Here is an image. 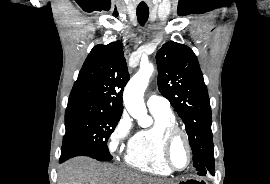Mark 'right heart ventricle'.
Wrapping results in <instances>:
<instances>
[{"mask_svg":"<svg viewBox=\"0 0 270 184\" xmlns=\"http://www.w3.org/2000/svg\"><path fill=\"white\" fill-rule=\"evenodd\" d=\"M154 117L153 126L141 129L134 136L127 149L125 162L132 168L158 176L172 173L162 160L161 138L165 126L176 124L171 110H151Z\"/></svg>","mask_w":270,"mask_h":184,"instance_id":"1","label":"right heart ventricle"}]
</instances>
